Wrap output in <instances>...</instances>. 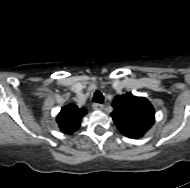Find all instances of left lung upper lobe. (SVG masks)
<instances>
[{"label":"left lung upper lobe","instance_id":"obj_1","mask_svg":"<svg viewBox=\"0 0 190 188\" xmlns=\"http://www.w3.org/2000/svg\"><path fill=\"white\" fill-rule=\"evenodd\" d=\"M111 117L122 134L134 133L143 136L155 122V111L144 97L131 93L117 95L113 101Z\"/></svg>","mask_w":190,"mask_h":188}]
</instances>
